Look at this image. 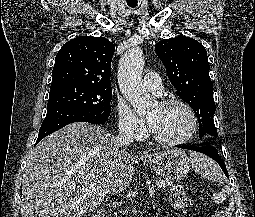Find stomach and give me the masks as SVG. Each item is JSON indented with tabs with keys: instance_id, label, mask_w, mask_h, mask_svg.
I'll return each mask as SVG.
<instances>
[{
	"instance_id": "stomach-1",
	"label": "stomach",
	"mask_w": 255,
	"mask_h": 217,
	"mask_svg": "<svg viewBox=\"0 0 255 217\" xmlns=\"http://www.w3.org/2000/svg\"><path fill=\"white\" fill-rule=\"evenodd\" d=\"M143 163L166 180L184 179L190 167V160L180 149H169L142 159Z\"/></svg>"
}]
</instances>
